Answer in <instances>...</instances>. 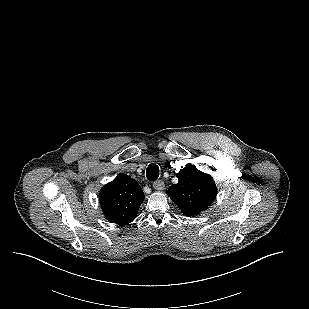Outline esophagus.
Returning a JSON list of instances; mask_svg holds the SVG:
<instances>
[{
  "label": "esophagus",
  "instance_id": "34e87169",
  "mask_svg": "<svg viewBox=\"0 0 309 309\" xmlns=\"http://www.w3.org/2000/svg\"><path fill=\"white\" fill-rule=\"evenodd\" d=\"M153 188L156 190H163L164 189V182L161 180H157L153 182Z\"/></svg>",
  "mask_w": 309,
  "mask_h": 309
}]
</instances>
